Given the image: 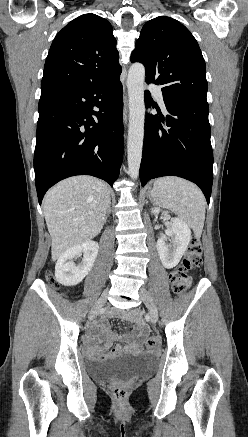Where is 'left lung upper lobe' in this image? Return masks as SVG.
I'll list each match as a JSON object with an SVG mask.
<instances>
[{
  "mask_svg": "<svg viewBox=\"0 0 248 437\" xmlns=\"http://www.w3.org/2000/svg\"><path fill=\"white\" fill-rule=\"evenodd\" d=\"M131 61L145 66L147 83L163 85L165 99L207 103L204 58L196 39L177 20L160 16L148 21Z\"/></svg>",
  "mask_w": 248,
  "mask_h": 437,
  "instance_id": "left-lung-upper-lobe-1",
  "label": "left lung upper lobe"
}]
</instances>
